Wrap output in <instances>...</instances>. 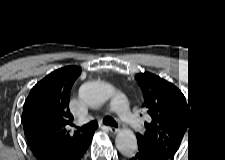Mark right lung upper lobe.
Here are the masks:
<instances>
[{"label": "right lung upper lobe", "mask_w": 225, "mask_h": 160, "mask_svg": "<svg viewBox=\"0 0 225 160\" xmlns=\"http://www.w3.org/2000/svg\"><path fill=\"white\" fill-rule=\"evenodd\" d=\"M81 68L66 66L51 72L30 91L24 103L22 122L29 145L39 155L72 151L92 137V130L69 133L73 116L69 95Z\"/></svg>", "instance_id": "right-lung-upper-lobe-1"}]
</instances>
